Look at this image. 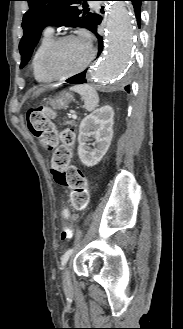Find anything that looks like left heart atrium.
Returning a JSON list of instances; mask_svg holds the SVG:
<instances>
[{"mask_svg": "<svg viewBox=\"0 0 183 329\" xmlns=\"http://www.w3.org/2000/svg\"><path fill=\"white\" fill-rule=\"evenodd\" d=\"M80 40H82L87 45H89V43H90V38H89V35L87 33H82V35L80 37Z\"/></svg>", "mask_w": 183, "mask_h": 329, "instance_id": "obj_1", "label": "left heart atrium"}]
</instances>
